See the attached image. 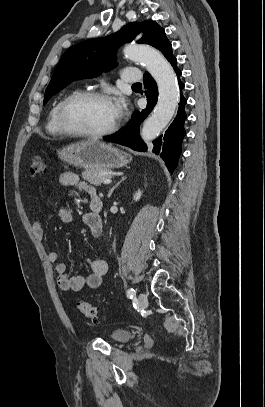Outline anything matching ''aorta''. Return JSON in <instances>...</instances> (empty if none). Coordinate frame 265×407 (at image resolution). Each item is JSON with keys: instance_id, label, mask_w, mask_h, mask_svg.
Returning <instances> with one entry per match:
<instances>
[{"instance_id": "aorta-1", "label": "aorta", "mask_w": 265, "mask_h": 407, "mask_svg": "<svg viewBox=\"0 0 265 407\" xmlns=\"http://www.w3.org/2000/svg\"><path fill=\"white\" fill-rule=\"evenodd\" d=\"M123 52L127 59L143 63L157 82L158 101L141 130L142 139L150 141L167 126L177 109L180 100L177 77L170 63L153 48L131 44Z\"/></svg>"}]
</instances>
